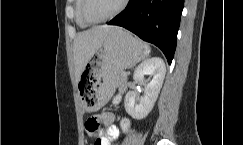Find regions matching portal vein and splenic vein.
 <instances>
[{
	"instance_id": "18ae733b",
	"label": "portal vein and splenic vein",
	"mask_w": 243,
	"mask_h": 145,
	"mask_svg": "<svg viewBox=\"0 0 243 145\" xmlns=\"http://www.w3.org/2000/svg\"><path fill=\"white\" fill-rule=\"evenodd\" d=\"M125 76H127V73H123Z\"/></svg>"
}]
</instances>
